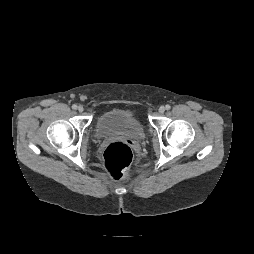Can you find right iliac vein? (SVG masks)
<instances>
[{
  "mask_svg": "<svg viewBox=\"0 0 254 254\" xmlns=\"http://www.w3.org/2000/svg\"><path fill=\"white\" fill-rule=\"evenodd\" d=\"M77 110H78L79 112H83V111H84V108H83V106L79 105V106L77 107Z\"/></svg>",
  "mask_w": 254,
  "mask_h": 254,
  "instance_id": "obj_1",
  "label": "right iliac vein"
}]
</instances>
